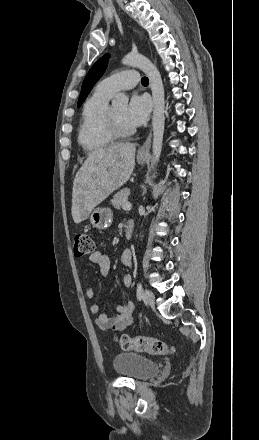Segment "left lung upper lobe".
Returning a JSON list of instances; mask_svg holds the SVG:
<instances>
[{"mask_svg":"<svg viewBox=\"0 0 259 440\" xmlns=\"http://www.w3.org/2000/svg\"><path fill=\"white\" fill-rule=\"evenodd\" d=\"M109 54L101 57L89 70L82 84L81 94L78 100V107L84 102L91 91L92 86L101 78L108 65Z\"/></svg>","mask_w":259,"mask_h":440,"instance_id":"left-lung-upper-lobe-1","label":"left lung upper lobe"}]
</instances>
